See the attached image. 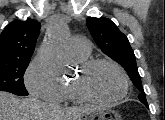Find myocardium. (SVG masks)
<instances>
[{"mask_svg": "<svg viewBox=\"0 0 165 120\" xmlns=\"http://www.w3.org/2000/svg\"><path fill=\"white\" fill-rule=\"evenodd\" d=\"M107 64L115 68L123 81V89L121 93L113 98L100 99L92 96L85 88V79L88 73L98 65ZM72 90L76 97L82 102L97 104H113L121 101L128 93L130 82L126 71L116 61L109 58H93L82 62L79 66L78 77L71 83Z\"/></svg>", "mask_w": 165, "mask_h": 120, "instance_id": "1", "label": "myocardium"}]
</instances>
